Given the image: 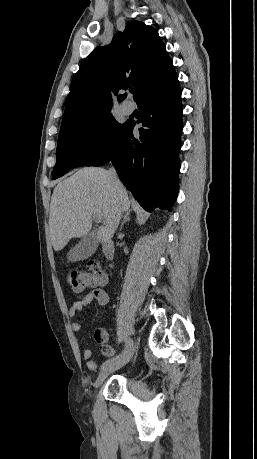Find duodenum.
Masks as SVG:
<instances>
[{
	"instance_id": "1",
	"label": "duodenum",
	"mask_w": 257,
	"mask_h": 459,
	"mask_svg": "<svg viewBox=\"0 0 257 459\" xmlns=\"http://www.w3.org/2000/svg\"><path fill=\"white\" fill-rule=\"evenodd\" d=\"M101 246H102V249H103V252L104 254L107 256V257H112L113 255V242L111 239H108V238H105L101 241Z\"/></svg>"
}]
</instances>
